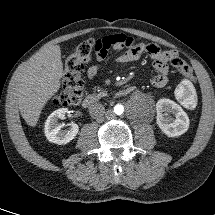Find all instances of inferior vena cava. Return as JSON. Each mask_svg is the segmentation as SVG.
I'll list each match as a JSON object with an SVG mask.
<instances>
[{"instance_id":"602c4592","label":"inferior vena cava","mask_w":215,"mask_h":215,"mask_svg":"<svg viewBox=\"0 0 215 215\" xmlns=\"http://www.w3.org/2000/svg\"><path fill=\"white\" fill-rule=\"evenodd\" d=\"M89 113L92 118L98 119L104 115L105 108L101 103H95L91 105Z\"/></svg>"}]
</instances>
